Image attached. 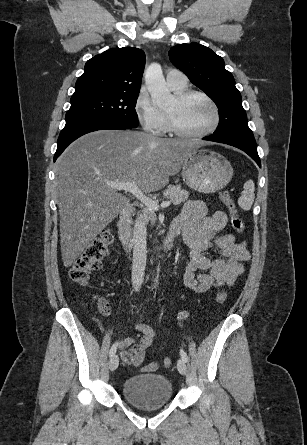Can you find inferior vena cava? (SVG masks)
I'll list each match as a JSON object with an SVG mask.
<instances>
[{"mask_svg":"<svg viewBox=\"0 0 307 445\" xmlns=\"http://www.w3.org/2000/svg\"><path fill=\"white\" fill-rule=\"evenodd\" d=\"M147 229L141 218L136 220L133 233V263L131 281L133 289L142 287L147 259Z\"/></svg>","mask_w":307,"mask_h":445,"instance_id":"obj_1","label":"inferior vena cava"}]
</instances>
